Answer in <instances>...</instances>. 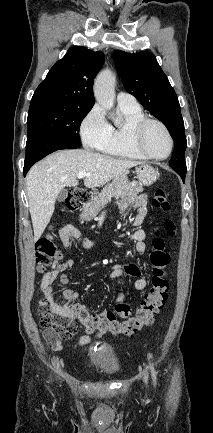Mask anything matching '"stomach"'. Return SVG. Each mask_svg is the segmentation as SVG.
Returning a JSON list of instances; mask_svg holds the SVG:
<instances>
[{
    "label": "stomach",
    "mask_w": 213,
    "mask_h": 433,
    "mask_svg": "<svg viewBox=\"0 0 213 433\" xmlns=\"http://www.w3.org/2000/svg\"><path fill=\"white\" fill-rule=\"evenodd\" d=\"M137 178L144 186L152 185L158 178V172L150 165H141L136 168Z\"/></svg>",
    "instance_id": "obj_1"
}]
</instances>
